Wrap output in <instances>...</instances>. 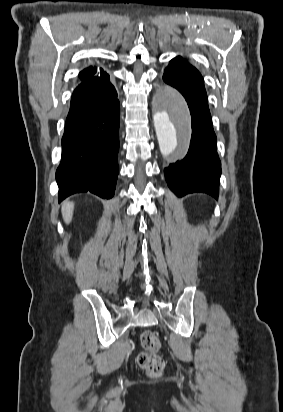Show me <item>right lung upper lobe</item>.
<instances>
[{
  "label": "right lung upper lobe",
  "instance_id": "obj_1",
  "mask_svg": "<svg viewBox=\"0 0 283 412\" xmlns=\"http://www.w3.org/2000/svg\"><path fill=\"white\" fill-rule=\"evenodd\" d=\"M95 76L109 78V75L106 72H104L102 68L97 69L96 67H89L87 69H84L79 74V78L81 81L87 80Z\"/></svg>",
  "mask_w": 283,
  "mask_h": 412
}]
</instances>
